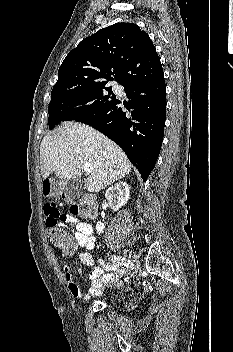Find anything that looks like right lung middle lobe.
Listing matches in <instances>:
<instances>
[{"label": "right lung middle lobe", "instance_id": "right-lung-middle-lobe-1", "mask_svg": "<svg viewBox=\"0 0 233 352\" xmlns=\"http://www.w3.org/2000/svg\"><path fill=\"white\" fill-rule=\"evenodd\" d=\"M105 85H91L70 89L52 90L48 106V124L53 129L61 121H78L92 116L112 104L116 97L112 87L105 88L108 95H103Z\"/></svg>", "mask_w": 233, "mask_h": 352}]
</instances>
